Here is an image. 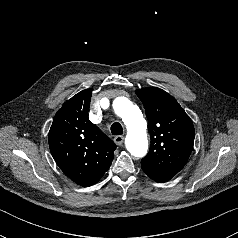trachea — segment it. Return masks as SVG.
Returning <instances> with one entry per match:
<instances>
[{
	"label": "trachea",
	"instance_id": "obj_1",
	"mask_svg": "<svg viewBox=\"0 0 238 238\" xmlns=\"http://www.w3.org/2000/svg\"><path fill=\"white\" fill-rule=\"evenodd\" d=\"M111 133L113 135L123 134V128H122L121 124L118 123V122L113 123L112 126H111Z\"/></svg>",
	"mask_w": 238,
	"mask_h": 238
}]
</instances>
